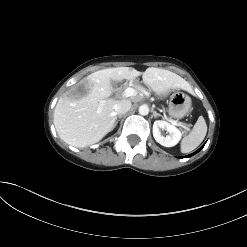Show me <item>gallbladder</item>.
<instances>
[{"label":"gallbladder","instance_id":"1","mask_svg":"<svg viewBox=\"0 0 247 247\" xmlns=\"http://www.w3.org/2000/svg\"><path fill=\"white\" fill-rule=\"evenodd\" d=\"M111 85L113 88H115L117 86V82L116 81H111Z\"/></svg>","mask_w":247,"mask_h":247}]
</instances>
